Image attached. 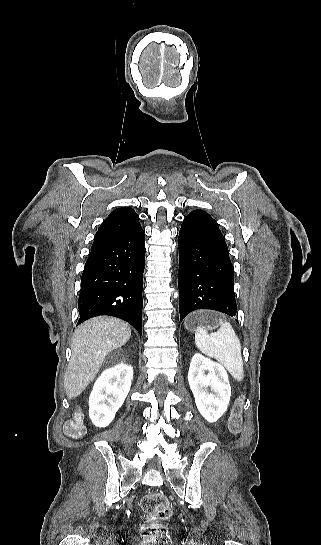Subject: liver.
Returning a JSON list of instances; mask_svg holds the SVG:
<instances>
[{
    "instance_id": "liver-1",
    "label": "liver",
    "mask_w": 321,
    "mask_h": 545,
    "mask_svg": "<svg viewBox=\"0 0 321 545\" xmlns=\"http://www.w3.org/2000/svg\"><path fill=\"white\" fill-rule=\"evenodd\" d=\"M131 337L127 323L113 317H95L76 329L72 355L64 377L68 399H76L95 379L108 353L125 345Z\"/></svg>"
}]
</instances>
